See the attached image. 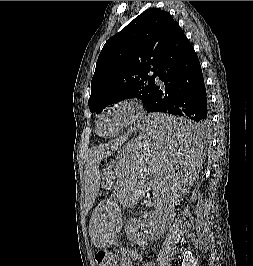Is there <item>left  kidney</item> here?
Instances as JSON below:
<instances>
[{
  "mask_svg": "<svg viewBox=\"0 0 253 266\" xmlns=\"http://www.w3.org/2000/svg\"><path fill=\"white\" fill-rule=\"evenodd\" d=\"M154 216L144 215L142 218H131L126 226V236L130 242L139 246L155 240L157 238L155 228L152 229V225L155 227L159 224V220L153 221Z\"/></svg>",
  "mask_w": 253,
  "mask_h": 266,
  "instance_id": "obj_1",
  "label": "left kidney"
}]
</instances>
